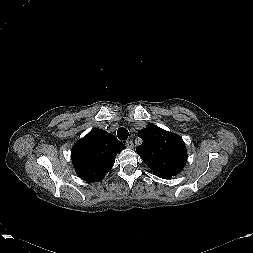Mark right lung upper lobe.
I'll list each match as a JSON object with an SVG mask.
<instances>
[{
  "label": "right lung upper lobe",
  "mask_w": 253,
  "mask_h": 253,
  "mask_svg": "<svg viewBox=\"0 0 253 253\" xmlns=\"http://www.w3.org/2000/svg\"><path fill=\"white\" fill-rule=\"evenodd\" d=\"M125 149L113 134L94 129L72 148L71 158L77 174L89 182L100 181L114 165L117 153Z\"/></svg>",
  "instance_id": "1"
}]
</instances>
